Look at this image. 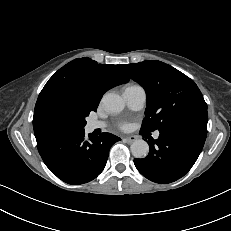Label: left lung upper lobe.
<instances>
[{"label": "left lung upper lobe", "mask_w": 231, "mask_h": 231, "mask_svg": "<svg viewBox=\"0 0 231 231\" xmlns=\"http://www.w3.org/2000/svg\"><path fill=\"white\" fill-rule=\"evenodd\" d=\"M147 95L142 131L163 130L195 123L207 126V104L195 82L179 70L157 60L120 65Z\"/></svg>", "instance_id": "obj_1"}]
</instances>
